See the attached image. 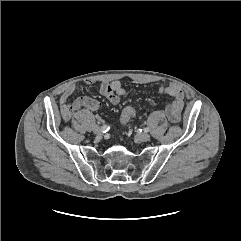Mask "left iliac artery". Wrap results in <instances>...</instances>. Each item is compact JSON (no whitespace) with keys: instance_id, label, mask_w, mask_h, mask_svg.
I'll return each mask as SVG.
<instances>
[{"instance_id":"obj_1","label":"left iliac artery","mask_w":241,"mask_h":241,"mask_svg":"<svg viewBox=\"0 0 241 241\" xmlns=\"http://www.w3.org/2000/svg\"><path fill=\"white\" fill-rule=\"evenodd\" d=\"M148 131H149L148 127L144 128V132H148Z\"/></svg>"}]
</instances>
